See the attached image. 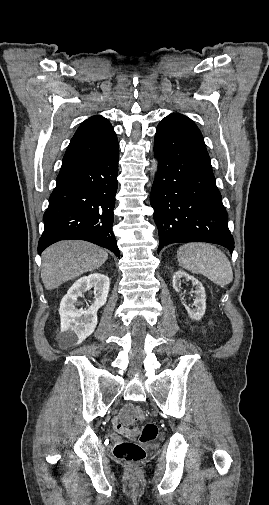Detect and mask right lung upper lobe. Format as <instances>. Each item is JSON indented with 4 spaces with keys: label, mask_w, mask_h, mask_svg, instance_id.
I'll use <instances>...</instances> for the list:
<instances>
[{
    "label": "right lung upper lobe",
    "mask_w": 269,
    "mask_h": 505,
    "mask_svg": "<svg viewBox=\"0 0 269 505\" xmlns=\"http://www.w3.org/2000/svg\"><path fill=\"white\" fill-rule=\"evenodd\" d=\"M117 142L110 122L100 116L86 119L74 134L63 157L62 166L98 155Z\"/></svg>",
    "instance_id": "cb5924a9"
}]
</instances>
